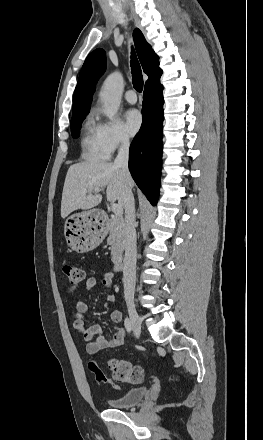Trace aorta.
Segmentation results:
<instances>
[{
	"label": "aorta",
	"mask_w": 263,
	"mask_h": 440,
	"mask_svg": "<svg viewBox=\"0 0 263 440\" xmlns=\"http://www.w3.org/2000/svg\"><path fill=\"white\" fill-rule=\"evenodd\" d=\"M123 91V76L119 72L111 73L103 83L99 97L104 105V113L113 120L120 106Z\"/></svg>",
	"instance_id": "1"
}]
</instances>
